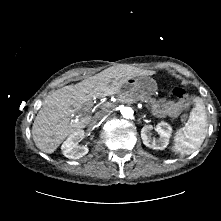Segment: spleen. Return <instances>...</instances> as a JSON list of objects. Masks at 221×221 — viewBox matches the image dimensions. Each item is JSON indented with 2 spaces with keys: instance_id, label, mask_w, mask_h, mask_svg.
I'll return each instance as SVG.
<instances>
[{
  "instance_id": "obj_1",
  "label": "spleen",
  "mask_w": 221,
  "mask_h": 221,
  "mask_svg": "<svg viewBox=\"0 0 221 221\" xmlns=\"http://www.w3.org/2000/svg\"><path fill=\"white\" fill-rule=\"evenodd\" d=\"M207 126L206 107L201 98L195 97L187 123L175 133L172 150L176 154H191L202 145Z\"/></svg>"
}]
</instances>
